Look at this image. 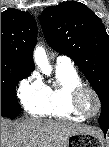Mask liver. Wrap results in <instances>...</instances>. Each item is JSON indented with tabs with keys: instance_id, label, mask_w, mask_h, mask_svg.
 Instances as JSON below:
<instances>
[{
	"instance_id": "obj_1",
	"label": "liver",
	"mask_w": 109,
	"mask_h": 147,
	"mask_svg": "<svg viewBox=\"0 0 109 147\" xmlns=\"http://www.w3.org/2000/svg\"><path fill=\"white\" fill-rule=\"evenodd\" d=\"M75 133L103 136L93 126L31 118L21 123L1 120V147H67V140Z\"/></svg>"
}]
</instances>
